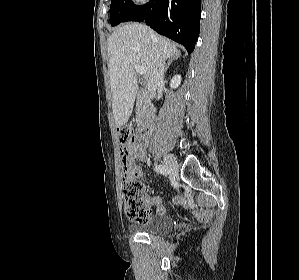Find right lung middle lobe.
Here are the masks:
<instances>
[{"instance_id": "right-lung-middle-lobe-1", "label": "right lung middle lobe", "mask_w": 299, "mask_h": 280, "mask_svg": "<svg viewBox=\"0 0 299 280\" xmlns=\"http://www.w3.org/2000/svg\"><path fill=\"white\" fill-rule=\"evenodd\" d=\"M136 5L131 0H112L110 5V21L112 26L124 22Z\"/></svg>"}]
</instances>
